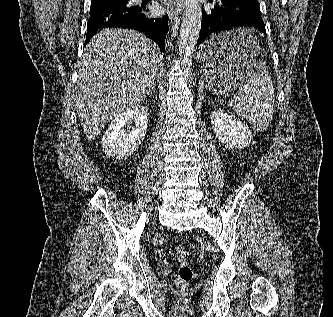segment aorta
Masks as SVG:
<instances>
[{
  "mask_svg": "<svg viewBox=\"0 0 333 317\" xmlns=\"http://www.w3.org/2000/svg\"><path fill=\"white\" fill-rule=\"evenodd\" d=\"M202 22V12L198 0H185L179 40V56L181 66L186 71V76L193 80L192 52L199 37Z\"/></svg>",
  "mask_w": 333,
  "mask_h": 317,
  "instance_id": "obj_1",
  "label": "aorta"
}]
</instances>
